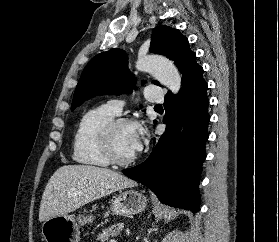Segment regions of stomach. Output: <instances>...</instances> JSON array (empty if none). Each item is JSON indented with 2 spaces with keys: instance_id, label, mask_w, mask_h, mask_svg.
Here are the masks:
<instances>
[{
  "instance_id": "1",
  "label": "stomach",
  "mask_w": 279,
  "mask_h": 242,
  "mask_svg": "<svg viewBox=\"0 0 279 242\" xmlns=\"http://www.w3.org/2000/svg\"><path fill=\"white\" fill-rule=\"evenodd\" d=\"M147 198L135 190H126L117 195L111 203L115 215L132 216L141 213L147 207ZM92 215H60L44 221L42 236L46 242H79L80 227L92 222Z\"/></svg>"
}]
</instances>
